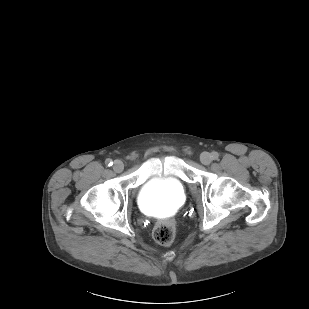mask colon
I'll return each instance as SVG.
<instances>
[{
    "label": "colon",
    "instance_id": "5ec220e1",
    "mask_svg": "<svg viewBox=\"0 0 309 309\" xmlns=\"http://www.w3.org/2000/svg\"><path fill=\"white\" fill-rule=\"evenodd\" d=\"M176 235V225L173 220L166 219L156 224L153 230L155 241L161 245H169Z\"/></svg>",
    "mask_w": 309,
    "mask_h": 309
}]
</instances>
